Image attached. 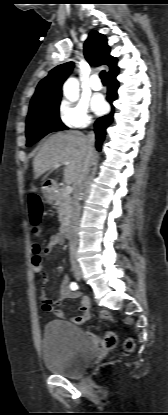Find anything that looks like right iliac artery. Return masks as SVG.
Wrapping results in <instances>:
<instances>
[{"instance_id":"obj_1","label":"right iliac artery","mask_w":168,"mask_h":415,"mask_svg":"<svg viewBox=\"0 0 168 415\" xmlns=\"http://www.w3.org/2000/svg\"><path fill=\"white\" fill-rule=\"evenodd\" d=\"M70 287H71V289L72 290H77L79 287H78V284L77 283H75V282H72L71 284H70Z\"/></svg>"}]
</instances>
